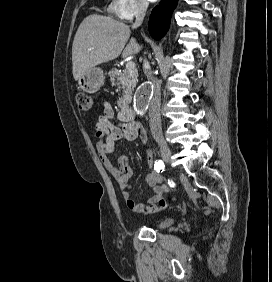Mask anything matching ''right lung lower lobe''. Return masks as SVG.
<instances>
[{
  "label": "right lung lower lobe",
  "instance_id": "1",
  "mask_svg": "<svg viewBox=\"0 0 272 282\" xmlns=\"http://www.w3.org/2000/svg\"><path fill=\"white\" fill-rule=\"evenodd\" d=\"M178 0H162L150 15L149 32L155 40L161 39L168 31L170 19Z\"/></svg>",
  "mask_w": 272,
  "mask_h": 282
}]
</instances>
